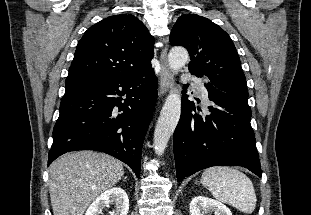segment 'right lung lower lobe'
<instances>
[{"mask_svg":"<svg viewBox=\"0 0 311 215\" xmlns=\"http://www.w3.org/2000/svg\"><path fill=\"white\" fill-rule=\"evenodd\" d=\"M65 88L48 165L66 152L97 150L123 161L138 177L157 98L154 71L126 79L72 80Z\"/></svg>","mask_w":311,"mask_h":215,"instance_id":"right-lung-lower-lobe-1","label":"right lung lower lobe"}]
</instances>
